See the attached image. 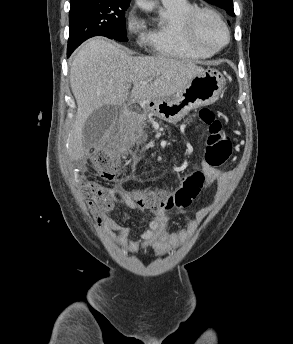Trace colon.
I'll return each mask as SVG.
<instances>
[{
  "label": "colon",
  "instance_id": "obj_1",
  "mask_svg": "<svg viewBox=\"0 0 293 344\" xmlns=\"http://www.w3.org/2000/svg\"><path fill=\"white\" fill-rule=\"evenodd\" d=\"M191 120H197L204 124L209 131L206 143L205 163L212 168L223 166L231 157L232 140L224 130L217 112L210 108H203L197 116ZM90 165L104 179L112 180L121 174L119 160L106 151H98L90 157ZM201 190V184L195 177L187 178L182 185L172 193L161 190L130 189L131 196L136 202L147 208L162 207L171 209L173 207H187ZM88 208L93 214L96 222L103 219L113 208V198L109 192L97 183L87 185Z\"/></svg>",
  "mask_w": 293,
  "mask_h": 344
}]
</instances>
